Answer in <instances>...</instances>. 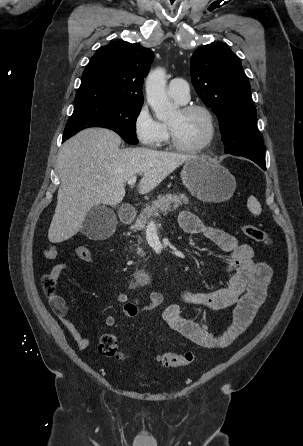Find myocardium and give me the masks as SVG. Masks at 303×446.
I'll return each mask as SVG.
<instances>
[{
  "instance_id": "f54148a6",
  "label": "myocardium",
  "mask_w": 303,
  "mask_h": 446,
  "mask_svg": "<svg viewBox=\"0 0 303 446\" xmlns=\"http://www.w3.org/2000/svg\"><path fill=\"white\" fill-rule=\"evenodd\" d=\"M179 110L182 113H190L193 111H199L201 112L206 120H207V124H208V135L206 137V139L200 143L199 145L196 146H185L182 145L176 138L175 132L173 130V128L167 124V132H168V138H169V144L172 148H174L175 150L179 151V152H183V153H200L202 151H204L205 149H207L212 142L215 139L216 136V123H215V119L213 116V113L211 112V110L203 105V104H199V103H192V104H185L182 105Z\"/></svg>"
}]
</instances>
